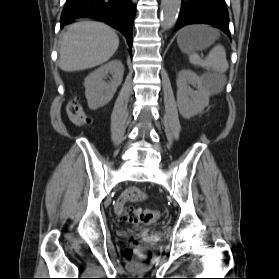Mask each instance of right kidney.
Here are the masks:
<instances>
[{
    "label": "right kidney",
    "mask_w": 279,
    "mask_h": 279,
    "mask_svg": "<svg viewBox=\"0 0 279 279\" xmlns=\"http://www.w3.org/2000/svg\"><path fill=\"white\" fill-rule=\"evenodd\" d=\"M108 74L112 75V79L106 82L104 79ZM123 74L124 66L120 60H112L90 73L84 82L88 107L96 110L111 101Z\"/></svg>",
    "instance_id": "right-kidney-1"
}]
</instances>
